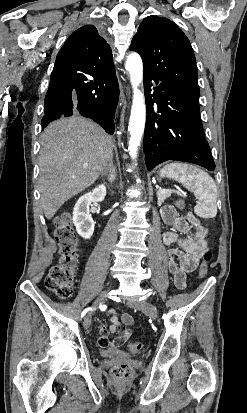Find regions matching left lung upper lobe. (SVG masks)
I'll return each instance as SVG.
<instances>
[{"label": "left lung upper lobe", "instance_id": "obj_1", "mask_svg": "<svg viewBox=\"0 0 247 413\" xmlns=\"http://www.w3.org/2000/svg\"><path fill=\"white\" fill-rule=\"evenodd\" d=\"M130 50L140 54L144 71L199 98L193 49L186 35L171 20L146 17L132 39Z\"/></svg>", "mask_w": 247, "mask_h": 413}]
</instances>
